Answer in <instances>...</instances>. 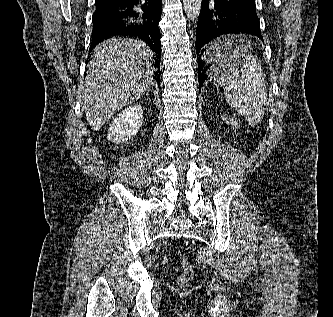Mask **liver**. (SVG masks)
<instances>
[{"instance_id":"1","label":"liver","mask_w":333,"mask_h":317,"mask_svg":"<svg viewBox=\"0 0 333 317\" xmlns=\"http://www.w3.org/2000/svg\"><path fill=\"white\" fill-rule=\"evenodd\" d=\"M152 56L147 44L127 38L105 40L94 50L80 88L86 119L94 130L144 95L154 71Z\"/></svg>"}]
</instances>
